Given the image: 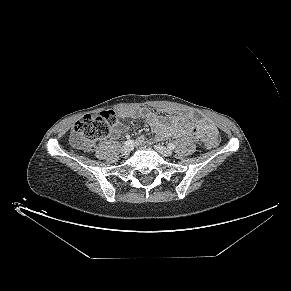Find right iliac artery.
Returning <instances> with one entry per match:
<instances>
[{"label":"right iliac artery","mask_w":291,"mask_h":291,"mask_svg":"<svg viewBox=\"0 0 291 291\" xmlns=\"http://www.w3.org/2000/svg\"><path fill=\"white\" fill-rule=\"evenodd\" d=\"M133 143H134L133 140H127L124 144H125L126 146H132Z\"/></svg>","instance_id":"right-iliac-artery-1"}]
</instances>
